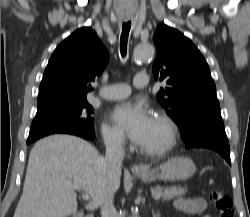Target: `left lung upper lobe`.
<instances>
[{
  "instance_id": "left-lung-upper-lobe-1",
  "label": "left lung upper lobe",
  "mask_w": 250,
  "mask_h": 217,
  "mask_svg": "<svg viewBox=\"0 0 250 217\" xmlns=\"http://www.w3.org/2000/svg\"><path fill=\"white\" fill-rule=\"evenodd\" d=\"M153 39L157 47L153 74L156 80L168 84L160 89L157 99L181 134L197 120L220 114L215 83L197 47L164 23L158 25Z\"/></svg>"
}]
</instances>
